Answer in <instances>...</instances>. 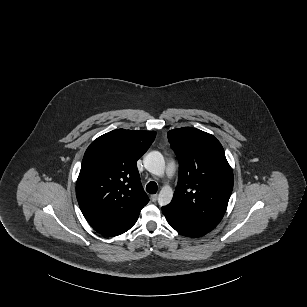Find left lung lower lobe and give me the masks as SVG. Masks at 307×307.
<instances>
[{"label":"left lung lower lobe","instance_id":"1","mask_svg":"<svg viewBox=\"0 0 307 307\" xmlns=\"http://www.w3.org/2000/svg\"><path fill=\"white\" fill-rule=\"evenodd\" d=\"M162 212L170 226L184 236L200 237L209 232L203 228L189 223L184 218L180 217L173 208L164 206L162 207Z\"/></svg>","mask_w":307,"mask_h":307}]
</instances>
